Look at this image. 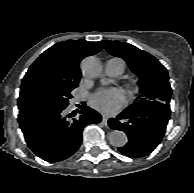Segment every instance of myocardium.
<instances>
[{
    "instance_id": "obj_1",
    "label": "myocardium",
    "mask_w": 194,
    "mask_h": 193,
    "mask_svg": "<svg viewBox=\"0 0 194 193\" xmlns=\"http://www.w3.org/2000/svg\"><path fill=\"white\" fill-rule=\"evenodd\" d=\"M131 89H132V91H136V87L135 86H132Z\"/></svg>"
}]
</instances>
